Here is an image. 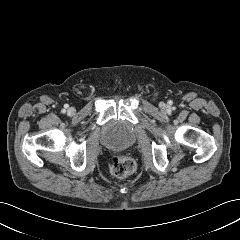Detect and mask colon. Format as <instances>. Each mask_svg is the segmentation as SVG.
Listing matches in <instances>:
<instances>
[{"mask_svg":"<svg viewBox=\"0 0 240 240\" xmlns=\"http://www.w3.org/2000/svg\"><path fill=\"white\" fill-rule=\"evenodd\" d=\"M110 172L117 178H125L132 175L137 168L133 158L127 155H114L110 160Z\"/></svg>","mask_w":240,"mask_h":240,"instance_id":"colon-1","label":"colon"}]
</instances>
